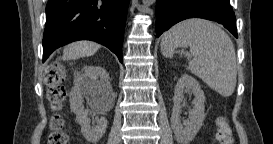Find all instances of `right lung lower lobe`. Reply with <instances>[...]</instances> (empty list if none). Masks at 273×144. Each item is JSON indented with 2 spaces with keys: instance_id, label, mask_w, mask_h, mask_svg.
<instances>
[{
  "instance_id": "1",
  "label": "right lung lower lobe",
  "mask_w": 273,
  "mask_h": 144,
  "mask_svg": "<svg viewBox=\"0 0 273 144\" xmlns=\"http://www.w3.org/2000/svg\"><path fill=\"white\" fill-rule=\"evenodd\" d=\"M129 0H48L43 35V62L67 43L93 40L108 47L122 62Z\"/></svg>"
}]
</instances>
